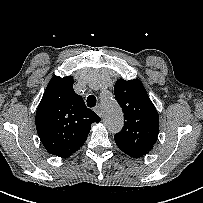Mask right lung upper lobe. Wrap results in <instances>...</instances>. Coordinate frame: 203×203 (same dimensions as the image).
Instances as JSON below:
<instances>
[{
  "instance_id": "cb5924a9",
  "label": "right lung upper lobe",
  "mask_w": 203,
  "mask_h": 203,
  "mask_svg": "<svg viewBox=\"0 0 203 203\" xmlns=\"http://www.w3.org/2000/svg\"><path fill=\"white\" fill-rule=\"evenodd\" d=\"M39 138L52 155L67 158L86 141L100 117L73 90V77L51 78L36 112Z\"/></svg>"
}]
</instances>
